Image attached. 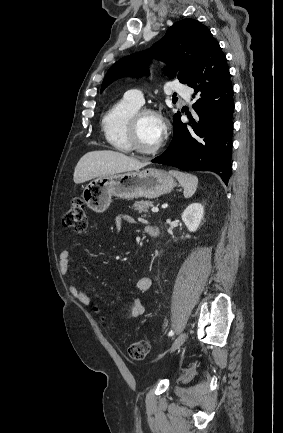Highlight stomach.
Listing matches in <instances>:
<instances>
[{
  "label": "stomach",
  "mask_w": 283,
  "mask_h": 433,
  "mask_svg": "<svg viewBox=\"0 0 283 433\" xmlns=\"http://www.w3.org/2000/svg\"><path fill=\"white\" fill-rule=\"evenodd\" d=\"M175 180L166 170L160 168H144V170H128L121 174L97 176L85 186L82 196L85 204L103 212L111 202V196L118 198H157L160 194L171 192Z\"/></svg>",
  "instance_id": "0dacf381"
}]
</instances>
